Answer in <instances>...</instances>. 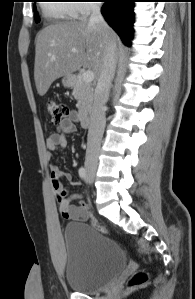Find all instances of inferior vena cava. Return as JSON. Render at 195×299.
Here are the masks:
<instances>
[{"instance_id": "inferior-vena-cava-1", "label": "inferior vena cava", "mask_w": 195, "mask_h": 299, "mask_svg": "<svg viewBox=\"0 0 195 299\" xmlns=\"http://www.w3.org/2000/svg\"><path fill=\"white\" fill-rule=\"evenodd\" d=\"M91 15L89 18L90 25H100L108 28L101 12L100 5L97 3L90 4ZM116 68V43L109 40L106 44L103 67L98 78L95 89L94 103L90 114V125L87 136V150L85 157V166L97 167L98 158L103 137L106 117L105 104L109 97L110 85L114 77Z\"/></svg>"}]
</instances>
